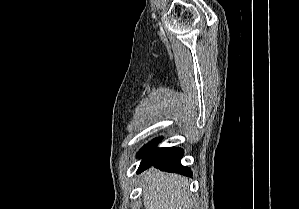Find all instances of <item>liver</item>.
<instances>
[{
	"mask_svg": "<svg viewBox=\"0 0 299 209\" xmlns=\"http://www.w3.org/2000/svg\"><path fill=\"white\" fill-rule=\"evenodd\" d=\"M142 181L146 209H192L186 178L150 169Z\"/></svg>",
	"mask_w": 299,
	"mask_h": 209,
	"instance_id": "liver-1",
	"label": "liver"
}]
</instances>
